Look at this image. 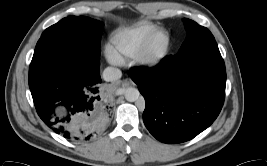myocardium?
Returning a JSON list of instances; mask_svg holds the SVG:
<instances>
[{
	"mask_svg": "<svg viewBox=\"0 0 267 166\" xmlns=\"http://www.w3.org/2000/svg\"><path fill=\"white\" fill-rule=\"evenodd\" d=\"M163 37V43L160 48L153 47L154 42ZM172 43V37L168 30L164 28L156 29L143 43V45L134 54V62L143 67H152L160 63L169 53Z\"/></svg>",
	"mask_w": 267,
	"mask_h": 166,
	"instance_id": "obj_1",
	"label": "myocardium"
}]
</instances>
